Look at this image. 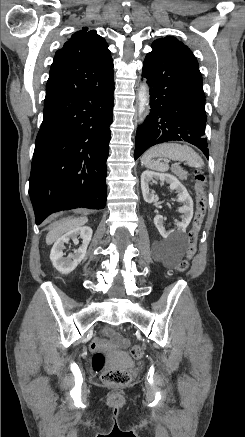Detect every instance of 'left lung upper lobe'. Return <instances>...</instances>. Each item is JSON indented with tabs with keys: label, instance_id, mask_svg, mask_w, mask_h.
<instances>
[{
	"label": "left lung upper lobe",
	"instance_id": "1",
	"mask_svg": "<svg viewBox=\"0 0 245 437\" xmlns=\"http://www.w3.org/2000/svg\"><path fill=\"white\" fill-rule=\"evenodd\" d=\"M152 47H165L171 49L172 51L181 54L186 58H188L189 60L198 64L197 59L193 55L191 50L175 37L166 36L164 38L157 39L156 41L153 42Z\"/></svg>",
	"mask_w": 245,
	"mask_h": 437
}]
</instances>
